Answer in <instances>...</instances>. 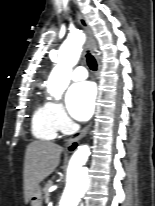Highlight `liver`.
I'll return each mask as SVG.
<instances>
[{
    "instance_id": "6515ba94",
    "label": "liver",
    "mask_w": 155,
    "mask_h": 206,
    "mask_svg": "<svg viewBox=\"0 0 155 206\" xmlns=\"http://www.w3.org/2000/svg\"><path fill=\"white\" fill-rule=\"evenodd\" d=\"M63 148L52 142L33 141L27 146L24 161V197L28 203L39 183L60 163Z\"/></svg>"
}]
</instances>
